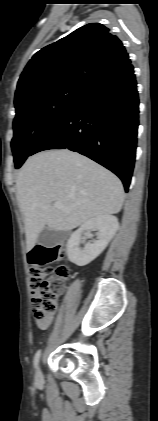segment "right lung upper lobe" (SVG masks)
I'll return each instance as SVG.
<instances>
[{"label": "right lung upper lobe", "mask_w": 158, "mask_h": 421, "mask_svg": "<svg viewBox=\"0 0 158 421\" xmlns=\"http://www.w3.org/2000/svg\"><path fill=\"white\" fill-rule=\"evenodd\" d=\"M125 53L122 42L104 25L82 26L32 57L18 81L15 103L46 89L85 85Z\"/></svg>", "instance_id": "right-lung-upper-lobe-1"}]
</instances>
